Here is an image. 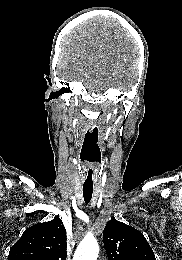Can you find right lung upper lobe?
<instances>
[{
  "label": "right lung upper lobe",
  "instance_id": "1",
  "mask_svg": "<svg viewBox=\"0 0 182 260\" xmlns=\"http://www.w3.org/2000/svg\"><path fill=\"white\" fill-rule=\"evenodd\" d=\"M66 230L61 219L27 228L11 247L8 260H66Z\"/></svg>",
  "mask_w": 182,
  "mask_h": 260
}]
</instances>
